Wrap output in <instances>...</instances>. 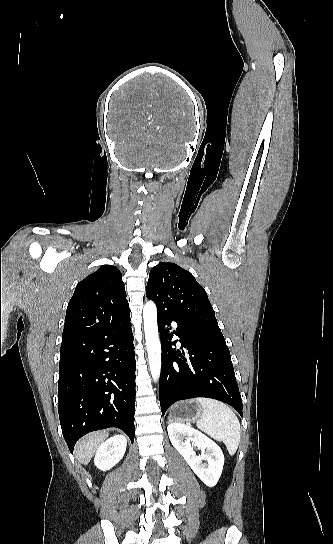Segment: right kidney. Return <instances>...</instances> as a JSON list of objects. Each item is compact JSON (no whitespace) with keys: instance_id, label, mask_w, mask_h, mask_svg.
Segmentation results:
<instances>
[{"instance_id":"obj_1","label":"right kidney","mask_w":333,"mask_h":544,"mask_svg":"<svg viewBox=\"0 0 333 544\" xmlns=\"http://www.w3.org/2000/svg\"><path fill=\"white\" fill-rule=\"evenodd\" d=\"M127 440L123 435H116L100 445L94 458L95 466L107 471L117 464L124 456Z\"/></svg>"}]
</instances>
